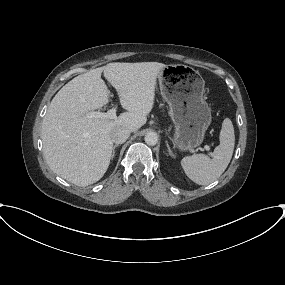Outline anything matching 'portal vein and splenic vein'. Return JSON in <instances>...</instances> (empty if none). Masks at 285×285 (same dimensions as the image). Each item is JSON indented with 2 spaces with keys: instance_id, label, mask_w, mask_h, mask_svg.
<instances>
[{
  "instance_id": "18ae733b",
  "label": "portal vein and splenic vein",
  "mask_w": 285,
  "mask_h": 285,
  "mask_svg": "<svg viewBox=\"0 0 285 285\" xmlns=\"http://www.w3.org/2000/svg\"><path fill=\"white\" fill-rule=\"evenodd\" d=\"M87 118H99V119H115L116 118V108L108 110L106 113L99 111H92L86 114ZM207 151L210 150L209 146H206Z\"/></svg>"
}]
</instances>
